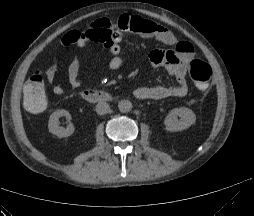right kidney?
Here are the masks:
<instances>
[{"label": "right kidney", "instance_id": "right-kidney-1", "mask_svg": "<svg viewBox=\"0 0 254 216\" xmlns=\"http://www.w3.org/2000/svg\"><path fill=\"white\" fill-rule=\"evenodd\" d=\"M65 116L68 120H70L71 116L67 110H56L49 117L48 129L52 134L62 138L68 137L73 134L74 126L72 124L68 125L67 128H63L59 126V118Z\"/></svg>", "mask_w": 254, "mask_h": 216}]
</instances>
